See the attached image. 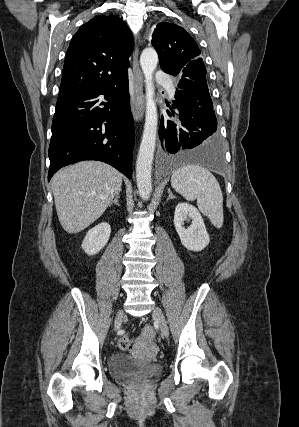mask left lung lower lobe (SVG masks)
Masks as SVG:
<instances>
[{
    "label": "left lung lower lobe",
    "instance_id": "left-lung-lower-lobe-1",
    "mask_svg": "<svg viewBox=\"0 0 299 427\" xmlns=\"http://www.w3.org/2000/svg\"><path fill=\"white\" fill-rule=\"evenodd\" d=\"M169 108L167 114L173 120L162 116L159 129L163 158L220 167L223 158L213 103L178 88Z\"/></svg>",
    "mask_w": 299,
    "mask_h": 427
}]
</instances>
